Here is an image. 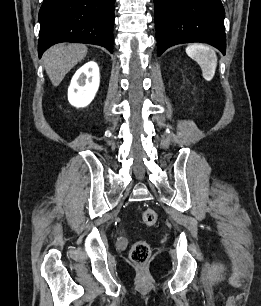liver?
<instances>
[{
	"mask_svg": "<svg viewBox=\"0 0 261 306\" xmlns=\"http://www.w3.org/2000/svg\"><path fill=\"white\" fill-rule=\"evenodd\" d=\"M82 44H56L43 55V64L53 86H58L65 75L87 55Z\"/></svg>",
	"mask_w": 261,
	"mask_h": 306,
	"instance_id": "obj_1",
	"label": "liver"
}]
</instances>
